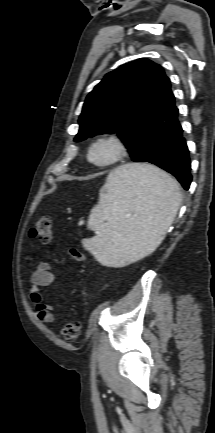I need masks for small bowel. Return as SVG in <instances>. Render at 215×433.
<instances>
[{"label": "small bowel", "mask_w": 215, "mask_h": 433, "mask_svg": "<svg viewBox=\"0 0 215 433\" xmlns=\"http://www.w3.org/2000/svg\"><path fill=\"white\" fill-rule=\"evenodd\" d=\"M55 283L56 279L50 263L47 261L38 262L31 275L32 285L29 289V297L35 306L38 319L44 323L56 321L52 306L46 302L44 297V288Z\"/></svg>", "instance_id": "c3829d8e"}]
</instances>
